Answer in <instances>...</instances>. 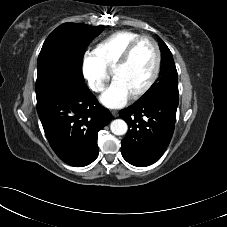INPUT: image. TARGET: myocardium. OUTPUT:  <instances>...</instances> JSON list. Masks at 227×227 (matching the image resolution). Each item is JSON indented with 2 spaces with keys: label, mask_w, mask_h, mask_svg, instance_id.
<instances>
[{
  "label": "myocardium",
  "mask_w": 227,
  "mask_h": 227,
  "mask_svg": "<svg viewBox=\"0 0 227 227\" xmlns=\"http://www.w3.org/2000/svg\"><path fill=\"white\" fill-rule=\"evenodd\" d=\"M143 41L150 42L154 47L155 55H156L155 68H154V72H153L151 78L149 79V81L140 90H138L137 92L130 95L131 99H133V100L139 99L142 96H144L153 87V85L155 84V82L157 81V79L160 75L161 65H162V55H161V50H160L158 43L156 42L155 39H153L150 36L138 37L137 39H135L128 45V47L125 49L122 56L119 58V60L116 62V64L112 68V76L114 77V73L117 70L125 67L128 64L135 49Z\"/></svg>",
  "instance_id": "obj_1"
}]
</instances>
